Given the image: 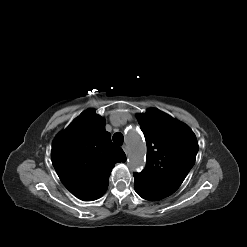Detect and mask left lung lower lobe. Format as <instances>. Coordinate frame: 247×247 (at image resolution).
Here are the masks:
<instances>
[{"instance_id":"left-lung-lower-lobe-1","label":"left lung lower lobe","mask_w":247,"mask_h":247,"mask_svg":"<svg viewBox=\"0 0 247 247\" xmlns=\"http://www.w3.org/2000/svg\"><path fill=\"white\" fill-rule=\"evenodd\" d=\"M134 187L137 194L142 197L143 199L149 200V201H157L162 199L163 197L155 194L154 192L147 189L141 182H139L137 179L134 181Z\"/></svg>"}]
</instances>
